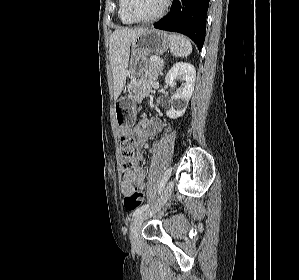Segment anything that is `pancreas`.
Masks as SVG:
<instances>
[{"label": "pancreas", "instance_id": "cf45deb5", "mask_svg": "<svg viewBox=\"0 0 299 280\" xmlns=\"http://www.w3.org/2000/svg\"><path fill=\"white\" fill-rule=\"evenodd\" d=\"M162 69V63L160 61L148 60L144 70V75L139 82H133L131 90L139 84L140 89L151 88L156 82L158 74Z\"/></svg>", "mask_w": 299, "mask_h": 280}]
</instances>
